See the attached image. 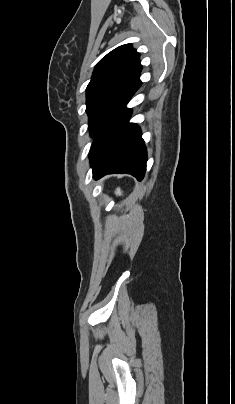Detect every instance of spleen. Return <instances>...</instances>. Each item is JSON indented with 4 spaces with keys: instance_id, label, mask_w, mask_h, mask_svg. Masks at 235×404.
I'll return each mask as SVG.
<instances>
[{
    "instance_id": "3e777b00",
    "label": "spleen",
    "mask_w": 235,
    "mask_h": 404,
    "mask_svg": "<svg viewBox=\"0 0 235 404\" xmlns=\"http://www.w3.org/2000/svg\"><path fill=\"white\" fill-rule=\"evenodd\" d=\"M115 194L118 195V196H121L122 195L121 189L117 188L116 191H115Z\"/></svg>"
}]
</instances>
